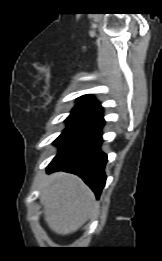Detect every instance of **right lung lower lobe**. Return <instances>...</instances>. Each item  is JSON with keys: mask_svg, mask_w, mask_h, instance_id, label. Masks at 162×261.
Wrapping results in <instances>:
<instances>
[{"mask_svg": "<svg viewBox=\"0 0 162 261\" xmlns=\"http://www.w3.org/2000/svg\"><path fill=\"white\" fill-rule=\"evenodd\" d=\"M102 110L71 125L55 140L60 147L48 166V172L66 171L81 177L99 198L106 182L107 155L100 149Z\"/></svg>", "mask_w": 162, "mask_h": 261, "instance_id": "98d812e1", "label": "right lung lower lobe"}]
</instances>
